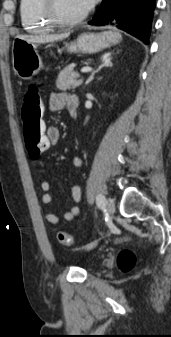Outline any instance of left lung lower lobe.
Segmentation results:
<instances>
[{
  "label": "left lung lower lobe",
  "instance_id": "1",
  "mask_svg": "<svg viewBox=\"0 0 171 337\" xmlns=\"http://www.w3.org/2000/svg\"><path fill=\"white\" fill-rule=\"evenodd\" d=\"M155 0H103L88 23L113 25L148 44Z\"/></svg>",
  "mask_w": 171,
  "mask_h": 337
}]
</instances>
